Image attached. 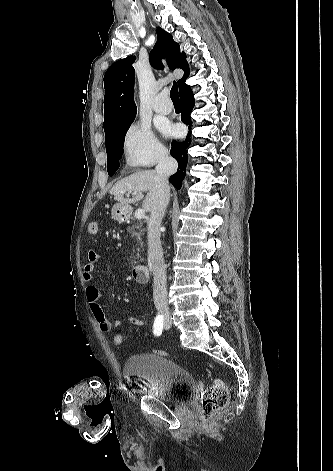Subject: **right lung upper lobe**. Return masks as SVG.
Listing matches in <instances>:
<instances>
[{
    "mask_svg": "<svg viewBox=\"0 0 333 471\" xmlns=\"http://www.w3.org/2000/svg\"><path fill=\"white\" fill-rule=\"evenodd\" d=\"M158 40L150 52V63L156 69H162V58H165L171 70L181 68L183 77L178 80L180 92L186 86L189 76V66L184 52L180 53V46L173 40L170 33L157 28ZM134 56H129L115 62L104 75V131L112 126L134 118L137 108L133 100L135 70L132 64Z\"/></svg>",
    "mask_w": 333,
    "mask_h": 471,
    "instance_id": "right-lung-upper-lobe-1",
    "label": "right lung upper lobe"
}]
</instances>
